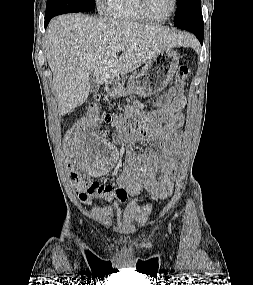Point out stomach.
I'll return each mask as SVG.
<instances>
[{
    "instance_id": "0dacf381",
    "label": "stomach",
    "mask_w": 253,
    "mask_h": 285,
    "mask_svg": "<svg viewBox=\"0 0 253 285\" xmlns=\"http://www.w3.org/2000/svg\"><path fill=\"white\" fill-rule=\"evenodd\" d=\"M179 64V56L171 48L157 52L139 74L129 78L127 87L113 81L107 84V93L121 97L128 93H138L143 97L154 95L163 90L173 78Z\"/></svg>"
}]
</instances>
